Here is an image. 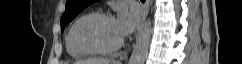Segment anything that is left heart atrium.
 <instances>
[{
	"mask_svg": "<svg viewBox=\"0 0 242 64\" xmlns=\"http://www.w3.org/2000/svg\"><path fill=\"white\" fill-rule=\"evenodd\" d=\"M114 22L119 36L124 38L130 35L138 25V16L135 13L123 9L118 13Z\"/></svg>",
	"mask_w": 242,
	"mask_h": 64,
	"instance_id": "39dd6f15",
	"label": "left heart atrium"
}]
</instances>
